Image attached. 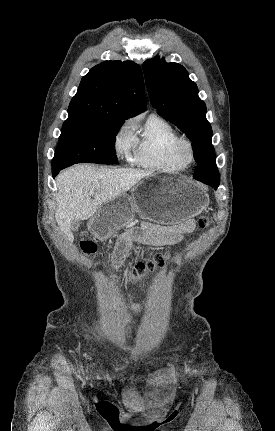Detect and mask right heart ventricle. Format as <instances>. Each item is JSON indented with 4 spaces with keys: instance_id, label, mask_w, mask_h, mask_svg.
Wrapping results in <instances>:
<instances>
[{
    "instance_id": "right-heart-ventricle-1",
    "label": "right heart ventricle",
    "mask_w": 275,
    "mask_h": 431,
    "mask_svg": "<svg viewBox=\"0 0 275 431\" xmlns=\"http://www.w3.org/2000/svg\"><path fill=\"white\" fill-rule=\"evenodd\" d=\"M135 138V164L163 173H175L185 167L175 151L180 136L173 125L163 117L151 114L139 136Z\"/></svg>"
}]
</instances>
